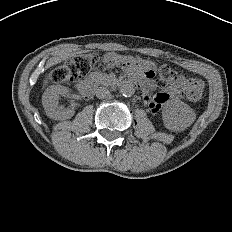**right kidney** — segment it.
Segmentation results:
<instances>
[{"label": "right kidney", "instance_id": "obj_1", "mask_svg": "<svg viewBox=\"0 0 232 232\" xmlns=\"http://www.w3.org/2000/svg\"><path fill=\"white\" fill-rule=\"evenodd\" d=\"M70 94V89L62 85L49 86L42 96V105L46 115L53 120L70 119L75 111L70 108H65L58 104L60 96H67Z\"/></svg>", "mask_w": 232, "mask_h": 232}]
</instances>
